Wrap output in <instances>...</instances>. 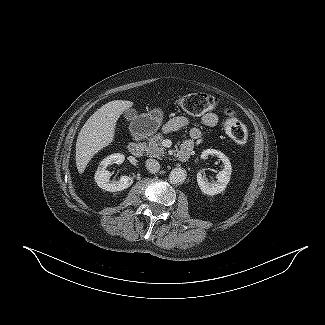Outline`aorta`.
Here are the masks:
<instances>
[{"label":"aorta","mask_w":325,"mask_h":325,"mask_svg":"<svg viewBox=\"0 0 325 325\" xmlns=\"http://www.w3.org/2000/svg\"><path fill=\"white\" fill-rule=\"evenodd\" d=\"M187 172L183 168H174L169 174V180L172 184H181L185 181Z\"/></svg>","instance_id":"1"}]
</instances>
